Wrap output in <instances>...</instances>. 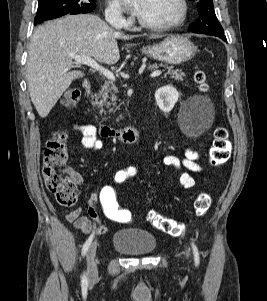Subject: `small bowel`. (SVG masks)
<instances>
[{
	"label": "small bowel",
	"mask_w": 267,
	"mask_h": 301,
	"mask_svg": "<svg viewBox=\"0 0 267 301\" xmlns=\"http://www.w3.org/2000/svg\"><path fill=\"white\" fill-rule=\"evenodd\" d=\"M74 130L81 135L80 146L86 150H97L102 148L103 142L97 134V129L92 124H75ZM200 154L198 151L186 148L183 157L176 155H166L163 158V163L179 172V183L185 189H192L196 182L194 177L189 172L203 173V168L199 164ZM186 169L188 171H183ZM76 183H81L82 179L79 174L72 172ZM203 180L206 181L205 176ZM97 195L91 196L87 216L81 214V209L76 207L66 215V219L71 222L76 229L83 234L88 235L95 229L98 234L105 235L109 232L106 225L99 220L97 212ZM92 232V233H93Z\"/></svg>",
	"instance_id": "c3829d8e"
}]
</instances>
